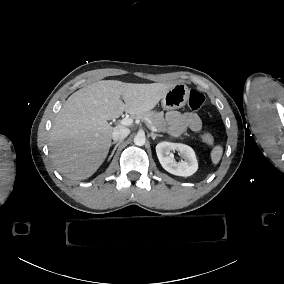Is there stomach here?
<instances>
[{
	"label": "stomach",
	"mask_w": 284,
	"mask_h": 284,
	"mask_svg": "<svg viewBox=\"0 0 284 284\" xmlns=\"http://www.w3.org/2000/svg\"><path fill=\"white\" fill-rule=\"evenodd\" d=\"M189 93L190 91L186 84H176L161 99L162 108L164 110H175L184 107L189 99Z\"/></svg>",
	"instance_id": "obj_1"
}]
</instances>
